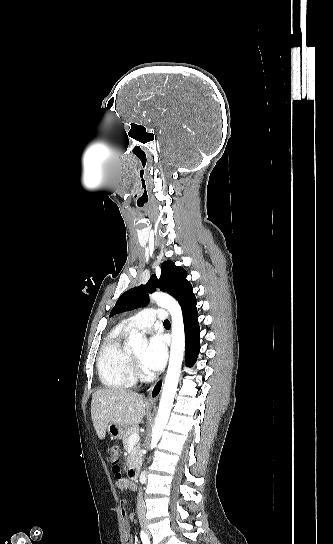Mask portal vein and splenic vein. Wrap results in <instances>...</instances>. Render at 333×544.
I'll return each instance as SVG.
<instances>
[{
  "mask_svg": "<svg viewBox=\"0 0 333 544\" xmlns=\"http://www.w3.org/2000/svg\"><path fill=\"white\" fill-rule=\"evenodd\" d=\"M139 439H140L139 434H138V433H134V434H132V435L129 437L128 442H129V444H135V443H137V442L139 441Z\"/></svg>",
  "mask_w": 333,
  "mask_h": 544,
  "instance_id": "obj_1",
  "label": "portal vein and splenic vein"
}]
</instances>
